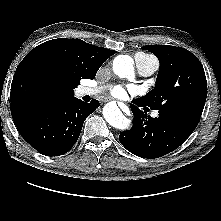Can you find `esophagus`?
Returning <instances> with one entry per match:
<instances>
[{
  "label": "esophagus",
  "instance_id": "esophagus-1",
  "mask_svg": "<svg viewBox=\"0 0 221 221\" xmlns=\"http://www.w3.org/2000/svg\"><path fill=\"white\" fill-rule=\"evenodd\" d=\"M108 101V99H104V102H107ZM122 106H125V104H122Z\"/></svg>",
  "mask_w": 221,
  "mask_h": 221
}]
</instances>
